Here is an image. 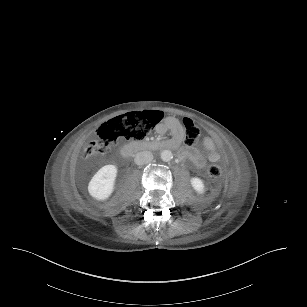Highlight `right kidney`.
<instances>
[{
	"mask_svg": "<svg viewBox=\"0 0 307 307\" xmlns=\"http://www.w3.org/2000/svg\"><path fill=\"white\" fill-rule=\"evenodd\" d=\"M117 168L114 165H105L98 170L88 184L89 194L97 200L107 199L114 190Z\"/></svg>",
	"mask_w": 307,
	"mask_h": 307,
	"instance_id": "right-kidney-1",
	"label": "right kidney"
}]
</instances>
